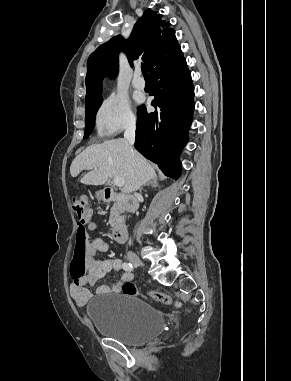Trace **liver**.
Returning a JSON list of instances; mask_svg holds the SVG:
<instances>
[{
    "instance_id": "6515ba94",
    "label": "liver",
    "mask_w": 291,
    "mask_h": 381,
    "mask_svg": "<svg viewBox=\"0 0 291 381\" xmlns=\"http://www.w3.org/2000/svg\"><path fill=\"white\" fill-rule=\"evenodd\" d=\"M83 170H90L80 180L85 185H103L109 178H122V193L125 194L156 178L154 168L125 139L107 140L87 147L70 166L72 177Z\"/></svg>"
}]
</instances>
